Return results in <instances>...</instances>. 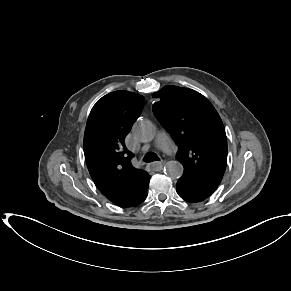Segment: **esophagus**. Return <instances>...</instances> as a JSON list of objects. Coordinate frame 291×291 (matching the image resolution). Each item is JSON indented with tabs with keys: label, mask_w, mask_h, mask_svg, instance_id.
<instances>
[{
	"label": "esophagus",
	"mask_w": 291,
	"mask_h": 291,
	"mask_svg": "<svg viewBox=\"0 0 291 291\" xmlns=\"http://www.w3.org/2000/svg\"><path fill=\"white\" fill-rule=\"evenodd\" d=\"M164 165H165V161L154 162L150 164V168L154 171H159L163 168Z\"/></svg>",
	"instance_id": "esophagus-1"
}]
</instances>
